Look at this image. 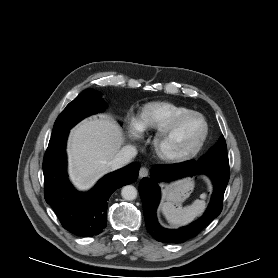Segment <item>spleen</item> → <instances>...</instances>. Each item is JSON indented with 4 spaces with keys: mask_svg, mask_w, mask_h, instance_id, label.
I'll return each instance as SVG.
<instances>
[{
    "mask_svg": "<svg viewBox=\"0 0 278 278\" xmlns=\"http://www.w3.org/2000/svg\"><path fill=\"white\" fill-rule=\"evenodd\" d=\"M200 198L201 199H196L191 205L184 208L181 207L180 204L175 206L172 202H164L161 205V211L171 225L182 226L189 223L203 212L206 194H201Z\"/></svg>",
    "mask_w": 278,
    "mask_h": 278,
    "instance_id": "obj_1",
    "label": "spleen"
}]
</instances>
